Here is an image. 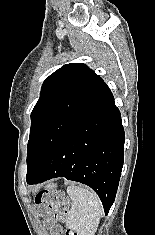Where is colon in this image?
Returning <instances> with one entry per match:
<instances>
[{
    "mask_svg": "<svg viewBox=\"0 0 155 235\" xmlns=\"http://www.w3.org/2000/svg\"><path fill=\"white\" fill-rule=\"evenodd\" d=\"M38 215L45 219H61L68 213V202L62 196L49 190L40 191L35 198ZM66 235H78L70 230Z\"/></svg>",
    "mask_w": 155,
    "mask_h": 235,
    "instance_id": "colon-1",
    "label": "colon"
}]
</instances>
